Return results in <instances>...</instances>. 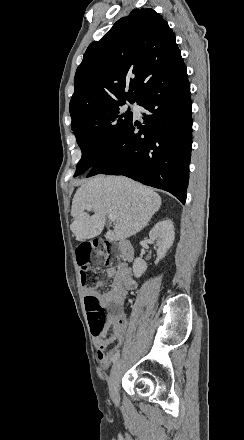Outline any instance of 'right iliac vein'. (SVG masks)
<instances>
[{"label":"right iliac vein","instance_id":"1","mask_svg":"<svg viewBox=\"0 0 244 440\" xmlns=\"http://www.w3.org/2000/svg\"><path fill=\"white\" fill-rule=\"evenodd\" d=\"M120 361H116L111 369L110 376L108 379L109 394L112 400L117 401L118 390H119V377H120Z\"/></svg>","mask_w":244,"mask_h":440}]
</instances>
